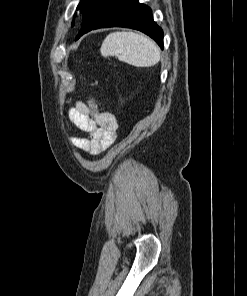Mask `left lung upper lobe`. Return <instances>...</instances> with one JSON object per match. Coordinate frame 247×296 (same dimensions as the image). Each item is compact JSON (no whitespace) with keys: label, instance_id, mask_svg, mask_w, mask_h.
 Returning a JSON list of instances; mask_svg holds the SVG:
<instances>
[{"label":"left lung upper lobe","instance_id":"5c2ea615","mask_svg":"<svg viewBox=\"0 0 247 296\" xmlns=\"http://www.w3.org/2000/svg\"><path fill=\"white\" fill-rule=\"evenodd\" d=\"M99 0H81L77 10H80V13L84 15L92 6H94ZM76 15V14H75ZM74 26V22H72Z\"/></svg>","mask_w":247,"mask_h":296}]
</instances>
